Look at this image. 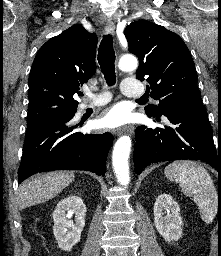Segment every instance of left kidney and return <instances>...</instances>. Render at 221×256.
I'll list each match as a JSON object with an SVG mask.
<instances>
[{"label":"left kidney","instance_id":"obj_1","mask_svg":"<svg viewBox=\"0 0 221 256\" xmlns=\"http://www.w3.org/2000/svg\"><path fill=\"white\" fill-rule=\"evenodd\" d=\"M164 210L167 215L164 216ZM154 224L159 234L168 242L182 235V218L178 203L169 194H161L154 204Z\"/></svg>","mask_w":221,"mask_h":256}]
</instances>
